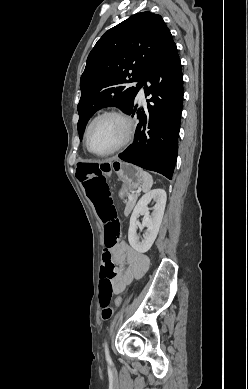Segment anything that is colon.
<instances>
[{
  "instance_id": "colon-1",
  "label": "colon",
  "mask_w": 248,
  "mask_h": 389,
  "mask_svg": "<svg viewBox=\"0 0 248 389\" xmlns=\"http://www.w3.org/2000/svg\"><path fill=\"white\" fill-rule=\"evenodd\" d=\"M79 179L86 195L93 203L95 210L104 224L105 251L102 256L101 280L99 285V305L101 317L104 321L112 318L115 310H120L122 298H114V309L111 306L113 296V280L117 268L113 262L110 249L114 247L121 234V224L113 204L107 174L112 171L110 161H79Z\"/></svg>"
}]
</instances>
